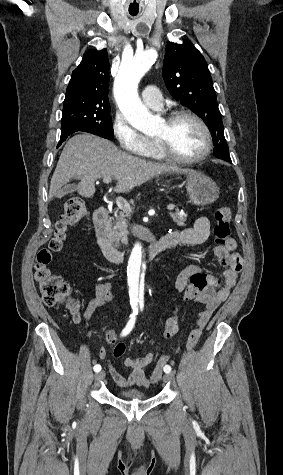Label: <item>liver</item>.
<instances>
[{"instance_id": "1", "label": "liver", "mask_w": 283, "mask_h": 475, "mask_svg": "<svg viewBox=\"0 0 283 475\" xmlns=\"http://www.w3.org/2000/svg\"><path fill=\"white\" fill-rule=\"evenodd\" d=\"M163 172L190 174L193 170L146 162L142 158L122 152L109 140L92 134H78L70 138L62 150L51 178L48 198L49 202L53 200L62 186L68 184L72 178L81 180L77 186L78 194L84 198H92L96 192L95 182L99 178L117 180L114 192L121 194L130 192L135 186H141Z\"/></svg>"}]
</instances>
